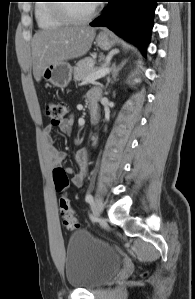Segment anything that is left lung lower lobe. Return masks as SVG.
I'll return each mask as SVG.
<instances>
[{
    "label": "left lung lower lobe",
    "mask_w": 195,
    "mask_h": 299,
    "mask_svg": "<svg viewBox=\"0 0 195 299\" xmlns=\"http://www.w3.org/2000/svg\"><path fill=\"white\" fill-rule=\"evenodd\" d=\"M120 2H124L120 5ZM157 0H108L104 13L90 23L105 26L135 44L146 55Z\"/></svg>",
    "instance_id": "obj_1"
}]
</instances>
